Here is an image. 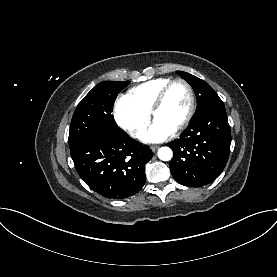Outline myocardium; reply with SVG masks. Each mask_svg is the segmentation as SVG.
I'll use <instances>...</instances> for the list:
<instances>
[{
  "label": "myocardium",
  "instance_id": "obj_1",
  "mask_svg": "<svg viewBox=\"0 0 277 277\" xmlns=\"http://www.w3.org/2000/svg\"><path fill=\"white\" fill-rule=\"evenodd\" d=\"M176 84H182L185 86V88L188 91L189 94V109L188 112L183 119V121L175 128V132L182 131L185 129L188 124L190 123L191 119L193 118V115L195 113L196 109V98H195V93L192 88V86L184 79L177 78L174 80H171L169 83H167L159 92L158 96L156 97L151 109H150V116L152 118H155L156 113L160 110V108L163 106L166 97L170 91V89L176 85Z\"/></svg>",
  "mask_w": 277,
  "mask_h": 277
}]
</instances>
